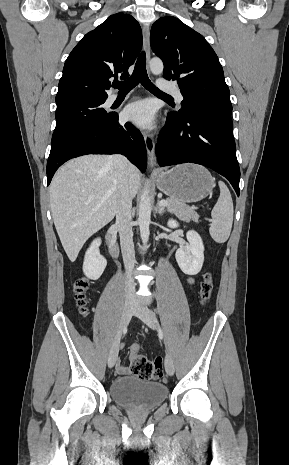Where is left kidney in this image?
Returning <instances> with one entry per match:
<instances>
[{
  "label": "left kidney",
  "mask_w": 289,
  "mask_h": 465,
  "mask_svg": "<svg viewBox=\"0 0 289 465\" xmlns=\"http://www.w3.org/2000/svg\"><path fill=\"white\" fill-rule=\"evenodd\" d=\"M169 228H177L179 226L176 220H168ZM189 244L177 249L175 258L180 269L187 275L198 274L204 262V245L200 235L194 230H190L186 234Z\"/></svg>",
  "instance_id": "left-kidney-1"
}]
</instances>
